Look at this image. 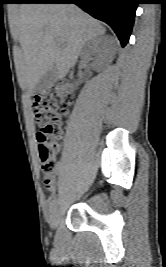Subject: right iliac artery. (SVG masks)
Returning <instances> with one entry per match:
<instances>
[{
    "instance_id": "right-iliac-artery-1",
    "label": "right iliac artery",
    "mask_w": 166,
    "mask_h": 267,
    "mask_svg": "<svg viewBox=\"0 0 166 267\" xmlns=\"http://www.w3.org/2000/svg\"><path fill=\"white\" fill-rule=\"evenodd\" d=\"M56 205H57V199H53L52 201H50V208H49V211L50 213H53L56 209Z\"/></svg>"
}]
</instances>
